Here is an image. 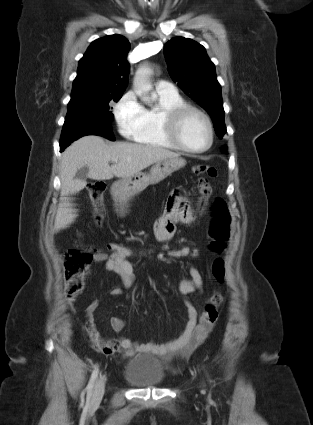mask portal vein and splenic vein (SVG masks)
<instances>
[{"instance_id":"portal-vein-and-splenic-vein-1","label":"portal vein and splenic vein","mask_w":313,"mask_h":425,"mask_svg":"<svg viewBox=\"0 0 313 425\" xmlns=\"http://www.w3.org/2000/svg\"><path fill=\"white\" fill-rule=\"evenodd\" d=\"M112 162L117 163L118 160L117 159H112Z\"/></svg>"}]
</instances>
